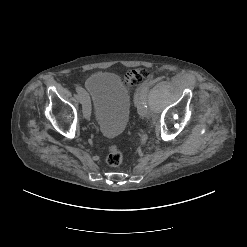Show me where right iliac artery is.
Listing matches in <instances>:
<instances>
[{"label": "right iliac artery", "mask_w": 247, "mask_h": 247, "mask_svg": "<svg viewBox=\"0 0 247 247\" xmlns=\"http://www.w3.org/2000/svg\"><path fill=\"white\" fill-rule=\"evenodd\" d=\"M76 92L79 94L77 98L80 101L86 99L87 96H88L87 92H85L84 89L82 87H80V86L76 87Z\"/></svg>", "instance_id": "obj_1"}]
</instances>
